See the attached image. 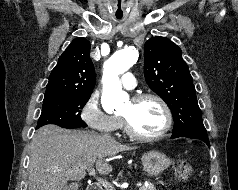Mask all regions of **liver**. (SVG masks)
<instances>
[{"label": "liver", "instance_id": "6515ba94", "mask_svg": "<svg viewBox=\"0 0 238 190\" xmlns=\"http://www.w3.org/2000/svg\"><path fill=\"white\" fill-rule=\"evenodd\" d=\"M132 149L95 133L45 125L31 141L28 190H67L69 180H82L94 164L100 174H109V157Z\"/></svg>", "mask_w": 238, "mask_h": 190}]
</instances>
